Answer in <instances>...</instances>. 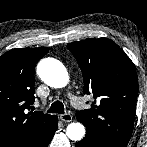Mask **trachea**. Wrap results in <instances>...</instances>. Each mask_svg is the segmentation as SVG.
<instances>
[{
    "mask_svg": "<svg viewBox=\"0 0 147 147\" xmlns=\"http://www.w3.org/2000/svg\"><path fill=\"white\" fill-rule=\"evenodd\" d=\"M48 113H59L64 114V105L60 101H55L51 104L50 108L47 110Z\"/></svg>",
    "mask_w": 147,
    "mask_h": 147,
    "instance_id": "3493384b",
    "label": "trachea"
}]
</instances>
